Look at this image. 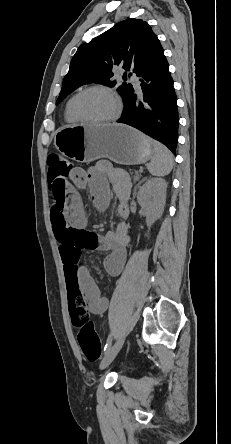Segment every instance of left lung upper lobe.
<instances>
[{"mask_svg":"<svg viewBox=\"0 0 231 444\" xmlns=\"http://www.w3.org/2000/svg\"><path fill=\"white\" fill-rule=\"evenodd\" d=\"M160 48L161 44L147 22L135 18L119 22L78 48L71 60L56 104L87 83L114 86L115 81L109 80L114 75V67L120 66L137 74ZM123 79H127L126 74ZM117 90L125 101L132 85L123 83Z\"/></svg>","mask_w":231,"mask_h":444,"instance_id":"obj_1","label":"left lung upper lobe"}]
</instances>
